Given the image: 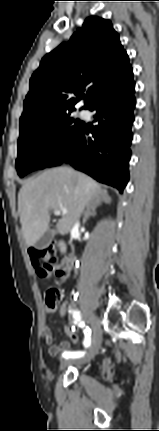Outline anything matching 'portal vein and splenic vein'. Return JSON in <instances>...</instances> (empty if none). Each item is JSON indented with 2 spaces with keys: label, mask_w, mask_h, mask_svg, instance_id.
I'll list each match as a JSON object with an SVG mask.
<instances>
[{
  "label": "portal vein and splenic vein",
  "mask_w": 159,
  "mask_h": 431,
  "mask_svg": "<svg viewBox=\"0 0 159 431\" xmlns=\"http://www.w3.org/2000/svg\"><path fill=\"white\" fill-rule=\"evenodd\" d=\"M54 214L56 215V216H59V215H65V214H67V210L66 209H62V210H55L54 211Z\"/></svg>",
  "instance_id": "18ae733b"
}]
</instances>
